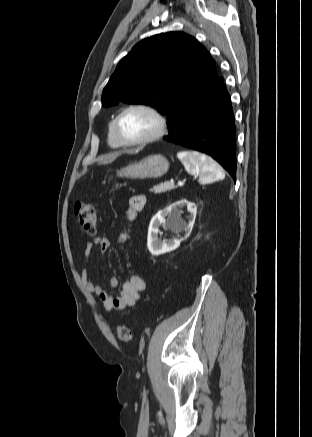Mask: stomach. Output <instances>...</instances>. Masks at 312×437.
I'll return each mask as SVG.
<instances>
[{"label":"stomach","instance_id":"stomach-1","mask_svg":"<svg viewBox=\"0 0 312 437\" xmlns=\"http://www.w3.org/2000/svg\"><path fill=\"white\" fill-rule=\"evenodd\" d=\"M168 169V160L160 154H155L127 165L119 170L117 175L131 179L157 178L163 176Z\"/></svg>","mask_w":312,"mask_h":437}]
</instances>
